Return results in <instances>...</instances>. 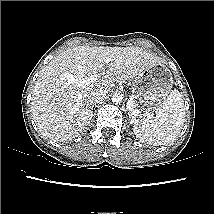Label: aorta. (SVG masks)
Instances as JSON below:
<instances>
[{"label":"aorta","mask_w":214,"mask_h":214,"mask_svg":"<svg viewBox=\"0 0 214 214\" xmlns=\"http://www.w3.org/2000/svg\"><path fill=\"white\" fill-rule=\"evenodd\" d=\"M123 100V95L121 93H115L112 96V102L115 104L121 103Z\"/></svg>","instance_id":"obj_1"}]
</instances>
